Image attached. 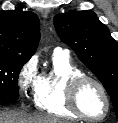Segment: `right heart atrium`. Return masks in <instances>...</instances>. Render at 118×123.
<instances>
[{
	"label": "right heart atrium",
	"instance_id": "1",
	"mask_svg": "<svg viewBox=\"0 0 118 123\" xmlns=\"http://www.w3.org/2000/svg\"><path fill=\"white\" fill-rule=\"evenodd\" d=\"M39 80L38 66L35 58L27 60L19 69L17 84L24 97L34 95Z\"/></svg>",
	"mask_w": 118,
	"mask_h": 123
}]
</instances>
